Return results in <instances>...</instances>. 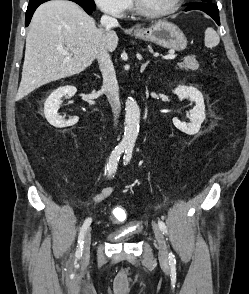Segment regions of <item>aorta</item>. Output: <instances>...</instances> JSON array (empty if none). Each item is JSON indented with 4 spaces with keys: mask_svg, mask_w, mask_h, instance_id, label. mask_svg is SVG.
I'll use <instances>...</instances> for the list:
<instances>
[{
    "mask_svg": "<svg viewBox=\"0 0 249 294\" xmlns=\"http://www.w3.org/2000/svg\"><path fill=\"white\" fill-rule=\"evenodd\" d=\"M125 111L124 136L121 143L124 147L132 148L138 136L140 122V109L132 97L126 100Z\"/></svg>",
    "mask_w": 249,
    "mask_h": 294,
    "instance_id": "obj_1",
    "label": "aorta"
}]
</instances>
